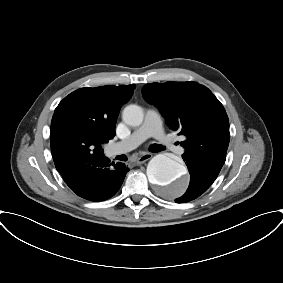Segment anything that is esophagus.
<instances>
[{
    "mask_svg": "<svg viewBox=\"0 0 283 283\" xmlns=\"http://www.w3.org/2000/svg\"><path fill=\"white\" fill-rule=\"evenodd\" d=\"M152 158L151 153H143L141 154L138 159L136 160L137 164H142Z\"/></svg>",
    "mask_w": 283,
    "mask_h": 283,
    "instance_id": "esophagus-1",
    "label": "esophagus"
}]
</instances>
